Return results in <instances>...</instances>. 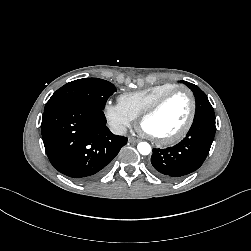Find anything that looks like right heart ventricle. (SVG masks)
<instances>
[{
    "mask_svg": "<svg viewBox=\"0 0 251 251\" xmlns=\"http://www.w3.org/2000/svg\"><path fill=\"white\" fill-rule=\"evenodd\" d=\"M175 87L176 84L162 83L140 91L124 93L119 96L118 103L128 115L136 119L160 96Z\"/></svg>",
    "mask_w": 251,
    "mask_h": 251,
    "instance_id": "e07e8e85",
    "label": "right heart ventricle"
}]
</instances>
